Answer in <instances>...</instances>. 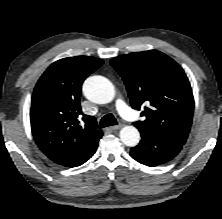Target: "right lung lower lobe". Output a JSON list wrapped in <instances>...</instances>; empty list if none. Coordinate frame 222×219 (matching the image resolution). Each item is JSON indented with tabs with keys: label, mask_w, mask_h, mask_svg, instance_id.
<instances>
[{
	"label": "right lung lower lobe",
	"mask_w": 222,
	"mask_h": 219,
	"mask_svg": "<svg viewBox=\"0 0 222 219\" xmlns=\"http://www.w3.org/2000/svg\"><path fill=\"white\" fill-rule=\"evenodd\" d=\"M97 146H98V144L91 150V152L84 158V160L80 163V164H78L77 166H80V165H82L83 163H85L88 159H90L92 156H93V154L95 153V151H96V149H97Z\"/></svg>",
	"instance_id": "obj_1"
}]
</instances>
